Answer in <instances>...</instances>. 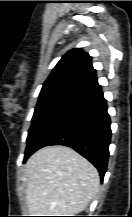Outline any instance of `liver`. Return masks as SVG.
I'll list each match as a JSON object with an SVG mask.
<instances>
[{
	"label": "liver",
	"mask_w": 132,
	"mask_h": 217,
	"mask_svg": "<svg viewBox=\"0 0 132 217\" xmlns=\"http://www.w3.org/2000/svg\"><path fill=\"white\" fill-rule=\"evenodd\" d=\"M26 201L32 216H69L83 211L96 197L97 169L66 146L38 150L26 163Z\"/></svg>",
	"instance_id": "liver-1"
}]
</instances>
